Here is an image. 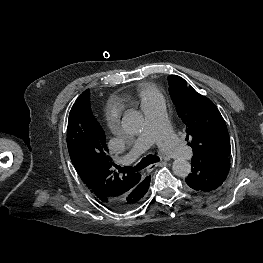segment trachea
<instances>
[{
	"mask_svg": "<svg viewBox=\"0 0 263 263\" xmlns=\"http://www.w3.org/2000/svg\"><path fill=\"white\" fill-rule=\"evenodd\" d=\"M160 158L156 155H147L144 157L136 166L130 167V166H125V167H118V170L120 172H125V173H130V172H136L144 169L150 164L159 162Z\"/></svg>",
	"mask_w": 263,
	"mask_h": 263,
	"instance_id": "trachea-1",
	"label": "trachea"
}]
</instances>
